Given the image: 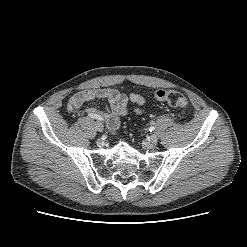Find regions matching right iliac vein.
Instances as JSON below:
<instances>
[{
  "instance_id": "63e3f726",
  "label": "right iliac vein",
  "mask_w": 247,
  "mask_h": 247,
  "mask_svg": "<svg viewBox=\"0 0 247 247\" xmlns=\"http://www.w3.org/2000/svg\"><path fill=\"white\" fill-rule=\"evenodd\" d=\"M95 127H96V129L99 131V132H102L103 131V124L101 123V122H99V121H96L95 122Z\"/></svg>"
}]
</instances>
